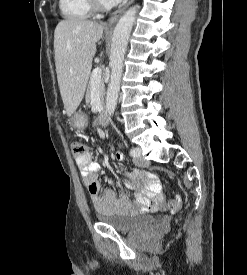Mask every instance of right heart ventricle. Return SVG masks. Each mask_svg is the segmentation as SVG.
I'll list each match as a JSON object with an SVG mask.
<instances>
[{
	"mask_svg": "<svg viewBox=\"0 0 247 275\" xmlns=\"http://www.w3.org/2000/svg\"><path fill=\"white\" fill-rule=\"evenodd\" d=\"M59 8L62 16L69 20L89 18L94 11L89 0H59Z\"/></svg>",
	"mask_w": 247,
	"mask_h": 275,
	"instance_id": "1",
	"label": "right heart ventricle"
}]
</instances>
